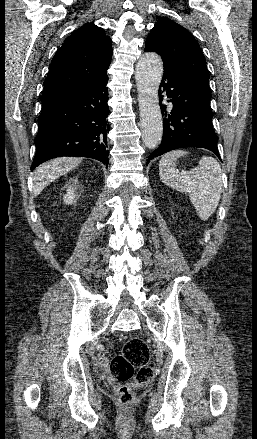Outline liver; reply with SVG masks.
Returning a JSON list of instances; mask_svg holds the SVG:
<instances>
[{
    "label": "liver",
    "instance_id": "1",
    "mask_svg": "<svg viewBox=\"0 0 257 439\" xmlns=\"http://www.w3.org/2000/svg\"><path fill=\"white\" fill-rule=\"evenodd\" d=\"M80 159L60 157L44 163L34 171V195L38 196L42 190L59 176L74 169Z\"/></svg>",
    "mask_w": 257,
    "mask_h": 439
}]
</instances>
